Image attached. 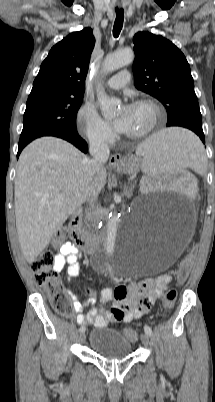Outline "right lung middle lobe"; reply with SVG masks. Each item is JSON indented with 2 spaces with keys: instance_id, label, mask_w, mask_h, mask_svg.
Instances as JSON below:
<instances>
[{
  "instance_id": "dd1d6c3e",
  "label": "right lung middle lobe",
  "mask_w": 215,
  "mask_h": 402,
  "mask_svg": "<svg viewBox=\"0 0 215 402\" xmlns=\"http://www.w3.org/2000/svg\"><path fill=\"white\" fill-rule=\"evenodd\" d=\"M83 95L41 93L28 97L19 145H27L41 136L77 132L76 115Z\"/></svg>"
}]
</instances>
